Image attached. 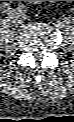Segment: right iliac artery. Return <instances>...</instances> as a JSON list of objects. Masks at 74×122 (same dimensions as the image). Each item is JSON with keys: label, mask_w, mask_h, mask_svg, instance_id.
Wrapping results in <instances>:
<instances>
[{"label": "right iliac artery", "mask_w": 74, "mask_h": 122, "mask_svg": "<svg viewBox=\"0 0 74 122\" xmlns=\"http://www.w3.org/2000/svg\"><path fill=\"white\" fill-rule=\"evenodd\" d=\"M1 8L5 12L10 11V9H11L10 4L7 2L2 3Z\"/></svg>", "instance_id": "right-iliac-artery-1"}]
</instances>
